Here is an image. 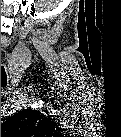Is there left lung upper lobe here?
<instances>
[{
    "instance_id": "obj_1",
    "label": "left lung upper lobe",
    "mask_w": 121,
    "mask_h": 137,
    "mask_svg": "<svg viewBox=\"0 0 121 137\" xmlns=\"http://www.w3.org/2000/svg\"><path fill=\"white\" fill-rule=\"evenodd\" d=\"M56 123L41 112L33 109L22 110L1 124L2 136L49 135L56 130Z\"/></svg>"
}]
</instances>
